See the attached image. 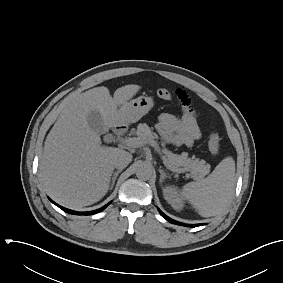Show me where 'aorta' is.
<instances>
[{
  "label": "aorta",
  "instance_id": "1",
  "mask_svg": "<svg viewBox=\"0 0 283 283\" xmlns=\"http://www.w3.org/2000/svg\"><path fill=\"white\" fill-rule=\"evenodd\" d=\"M136 175L138 178L148 180L152 176V168L147 163H141L136 169Z\"/></svg>",
  "mask_w": 283,
  "mask_h": 283
}]
</instances>
